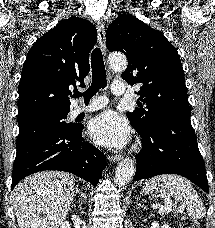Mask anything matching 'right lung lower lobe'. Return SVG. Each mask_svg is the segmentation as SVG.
<instances>
[{
  "label": "right lung lower lobe",
  "instance_id": "obj_1",
  "mask_svg": "<svg viewBox=\"0 0 215 228\" xmlns=\"http://www.w3.org/2000/svg\"><path fill=\"white\" fill-rule=\"evenodd\" d=\"M82 129L47 131L17 142L11 189L24 177L43 170L70 172L96 186L106 160L100 150L83 140Z\"/></svg>",
  "mask_w": 215,
  "mask_h": 228
}]
</instances>
